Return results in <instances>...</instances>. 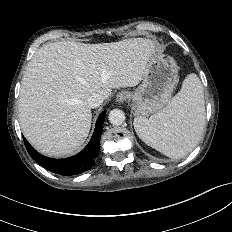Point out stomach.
I'll return each instance as SVG.
<instances>
[{"mask_svg":"<svg viewBox=\"0 0 232 232\" xmlns=\"http://www.w3.org/2000/svg\"><path fill=\"white\" fill-rule=\"evenodd\" d=\"M178 82V66L165 54L154 53L146 68L142 83L131 93L134 114L147 117L159 112L172 96Z\"/></svg>","mask_w":232,"mask_h":232,"instance_id":"obj_1","label":"stomach"}]
</instances>
